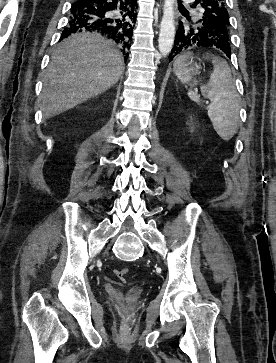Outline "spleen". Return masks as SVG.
<instances>
[{"label":"spleen","instance_id":"1","mask_svg":"<svg viewBox=\"0 0 276 363\" xmlns=\"http://www.w3.org/2000/svg\"><path fill=\"white\" fill-rule=\"evenodd\" d=\"M190 57V54H185L174 62V72L181 83H187L190 80L183 68L184 63ZM205 58L211 59L213 72L208 83L201 86V93L211 101L207 111L214 130L221 139L229 141L238 131L239 96L228 63L224 59L210 54H206ZM188 96L192 101L200 102L199 96L194 91L189 90Z\"/></svg>","mask_w":276,"mask_h":363}]
</instances>
